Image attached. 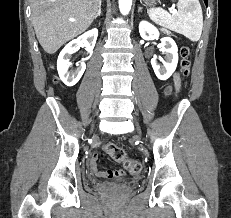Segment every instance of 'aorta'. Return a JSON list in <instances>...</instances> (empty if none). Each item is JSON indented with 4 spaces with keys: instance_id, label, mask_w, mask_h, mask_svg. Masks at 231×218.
I'll list each match as a JSON object with an SVG mask.
<instances>
[{
    "instance_id": "aorta-1",
    "label": "aorta",
    "mask_w": 231,
    "mask_h": 218,
    "mask_svg": "<svg viewBox=\"0 0 231 218\" xmlns=\"http://www.w3.org/2000/svg\"><path fill=\"white\" fill-rule=\"evenodd\" d=\"M132 6V0H119V9L123 15L129 13Z\"/></svg>"
}]
</instances>
